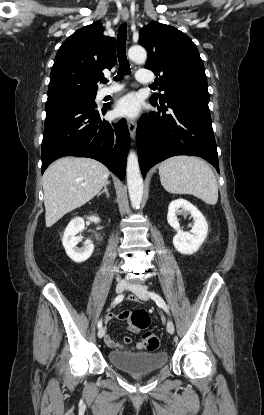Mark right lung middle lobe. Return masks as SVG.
I'll return each mask as SVG.
<instances>
[{
	"instance_id": "right-lung-middle-lobe-1",
	"label": "right lung middle lobe",
	"mask_w": 264,
	"mask_h": 415,
	"mask_svg": "<svg viewBox=\"0 0 264 415\" xmlns=\"http://www.w3.org/2000/svg\"><path fill=\"white\" fill-rule=\"evenodd\" d=\"M95 98H96V94H89V95L67 94V95L47 99L46 109L56 107V106L70 105V104L96 106Z\"/></svg>"
}]
</instances>
